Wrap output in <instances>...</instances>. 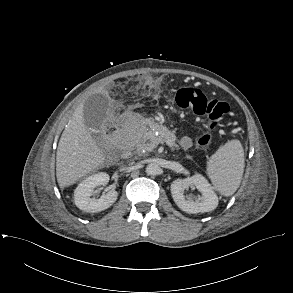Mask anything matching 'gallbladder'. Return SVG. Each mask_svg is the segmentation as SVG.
<instances>
[{"mask_svg":"<svg viewBox=\"0 0 293 293\" xmlns=\"http://www.w3.org/2000/svg\"><path fill=\"white\" fill-rule=\"evenodd\" d=\"M109 107L110 100L105 94L97 93L88 97L83 106L85 125L94 130H101L107 119Z\"/></svg>","mask_w":293,"mask_h":293,"instance_id":"bac80fb5","label":"gallbladder"}]
</instances>
